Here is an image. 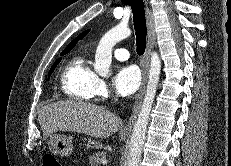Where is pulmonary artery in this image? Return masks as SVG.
Returning <instances> with one entry per match:
<instances>
[{"instance_id":"e3ab8cb5","label":"pulmonary artery","mask_w":231,"mask_h":166,"mask_svg":"<svg viewBox=\"0 0 231 166\" xmlns=\"http://www.w3.org/2000/svg\"><path fill=\"white\" fill-rule=\"evenodd\" d=\"M114 56L116 59L124 61L129 58V52L125 48H116L114 50Z\"/></svg>"}]
</instances>
